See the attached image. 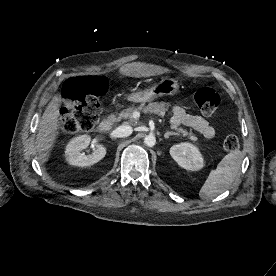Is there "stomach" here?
Instances as JSON below:
<instances>
[{"label": "stomach", "mask_w": 276, "mask_h": 276, "mask_svg": "<svg viewBox=\"0 0 276 276\" xmlns=\"http://www.w3.org/2000/svg\"><path fill=\"white\" fill-rule=\"evenodd\" d=\"M179 91V83L173 78H164L151 88L130 94L127 100L133 103H145L163 96L175 95Z\"/></svg>", "instance_id": "stomach-1"}]
</instances>
